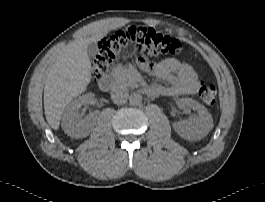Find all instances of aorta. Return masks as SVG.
Returning a JSON list of instances; mask_svg holds the SVG:
<instances>
[{
	"label": "aorta",
	"mask_w": 265,
	"mask_h": 202,
	"mask_svg": "<svg viewBox=\"0 0 265 202\" xmlns=\"http://www.w3.org/2000/svg\"><path fill=\"white\" fill-rule=\"evenodd\" d=\"M129 102L133 106H138L142 103V96L139 93H132L129 97Z\"/></svg>",
	"instance_id": "aorta-1"
}]
</instances>
